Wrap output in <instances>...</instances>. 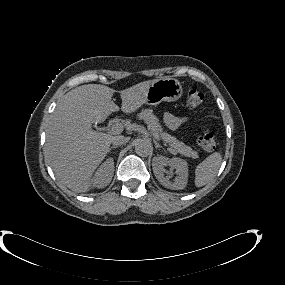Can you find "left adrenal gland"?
<instances>
[{
	"label": "left adrenal gland",
	"instance_id": "1",
	"mask_svg": "<svg viewBox=\"0 0 285 285\" xmlns=\"http://www.w3.org/2000/svg\"><path fill=\"white\" fill-rule=\"evenodd\" d=\"M154 144H155V148H162V146L158 144L156 140H154Z\"/></svg>",
	"mask_w": 285,
	"mask_h": 285
}]
</instances>
